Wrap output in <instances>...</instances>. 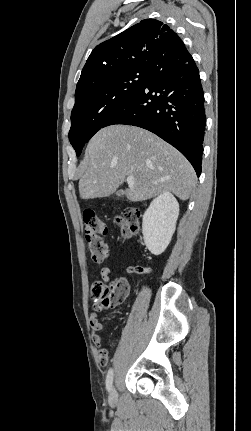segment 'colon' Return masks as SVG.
Returning a JSON list of instances; mask_svg holds the SVG:
<instances>
[{"mask_svg": "<svg viewBox=\"0 0 251 431\" xmlns=\"http://www.w3.org/2000/svg\"><path fill=\"white\" fill-rule=\"evenodd\" d=\"M141 212L137 208H127L122 216L117 218L124 237H131L139 232ZM83 234L91 259L96 263H103L108 257V247L105 242L107 226L94 212L83 214ZM131 272L142 273V267H133ZM128 293V285L124 280H118L111 285L96 281L91 287V296L95 305L103 308H113L121 304ZM116 349V346H113Z\"/></svg>", "mask_w": 251, "mask_h": 431, "instance_id": "1", "label": "colon"}]
</instances>
